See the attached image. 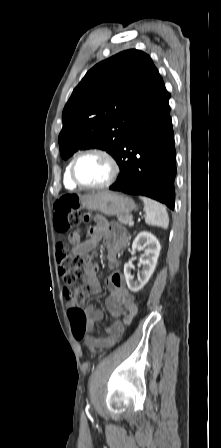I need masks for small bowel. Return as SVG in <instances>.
<instances>
[{
  "instance_id": "obj_1",
  "label": "small bowel",
  "mask_w": 221,
  "mask_h": 448,
  "mask_svg": "<svg viewBox=\"0 0 221 448\" xmlns=\"http://www.w3.org/2000/svg\"><path fill=\"white\" fill-rule=\"evenodd\" d=\"M127 241L128 235L117 226L111 225L104 218L96 219L93 232L86 241L80 243L76 236L73 240L74 245L71 251L82 254L87 259V267L83 281L91 293L98 294L101 291V287L97 278L99 266L97 263L91 261L89 253L101 242L108 250L109 264L113 269V273L107 279V287L110 290V294L106 298L105 304L108 312L115 319V322L105 329L103 334L95 335L93 334L94 325L96 322L102 320L103 312L92 305L87 306L83 310L87 318L88 332L85 336V344L92 351L113 346L123 334L124 326L131 322L137 311L134 298L125 287L123 277L117 270V252ZM121 317H123V321H121ZM69 320L71 322L70 317Z\"/></svg>"
}]
</instances>
